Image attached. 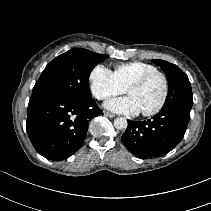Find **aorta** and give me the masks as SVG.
Listing matches in <instances>:
<instances>
[{"label": "aorta", "mask_w": 211, "mask_h": 211, "mask_svg": "<svg viewBox=\"0 0 211 211\" xmlns=\"http://www.w3.org/2000/svg\"><path fill=\"white\" fill-rule=\"evenodd\" d=\"M114 126L118 130H123L127 128V120L123 117L116 118L114 120Z\"/></svg>", "instance_id": "aorta-1"}]
</instances>
